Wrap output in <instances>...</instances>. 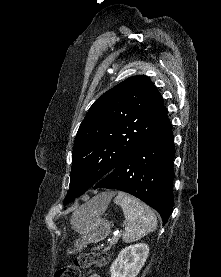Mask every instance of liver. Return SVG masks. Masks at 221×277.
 I'll return each instance as SVG.
<instances>
[{"label":"liver","instance_id":"6515ba94","mask_svg":"<svg viewBox=\"0 0 221 277\" xmlns=\"http://www.w3.org/2000/svg\"><path fill=\"white\" fill-rule=\"evenodd\" d=\"M113 193H104L95 198V201L101 203L103 206H107L113 197Z\"/></svg>","mask_w":221,"mask_h":277}]
</instances>
